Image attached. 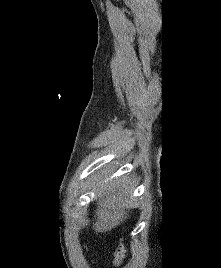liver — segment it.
I'll return each mask as SVG.
<instances>
[{"label":"liver","mask_w":221,"mask_h":268,"mask_svg":"<svg viewBox=\"0 0 221 268\" xmlns=\"http://www.w3.org/2000/svg\"><path fill=\"white\" fill-rule=\"evenodd\" d=\"M97 183V220L93 229L97 232L110 231L128 218L127 210L130 203V195L134 188L131 182L125 178H117L106 186Z\"/></svg>","instance_id":"liver-1"}]
</instances>
